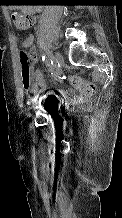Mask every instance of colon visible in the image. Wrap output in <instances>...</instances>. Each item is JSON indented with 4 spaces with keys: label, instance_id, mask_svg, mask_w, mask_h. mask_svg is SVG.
<instances>
[{
    "label": "colon",
    "instance_id": "colon-1",
    "mask_svg": "<svg viewBox=\"0 0 122 218\" xmlns=\"http://www.w3.org/2000/svg\"><path fill=\"white\" fill-rule=\"evenodd\" d=\"M11 19L15 27L19 31L28 30L33 24V17L24 14L19 11L11 12ZM20 75L22 86L25 91H30L32 87V77H31V55L26 50L20 51ZM73 85L85 94H91L93 92V86L80 79H73Z\"/></svg>",
    "mask_w": 122,
    "mask_h": 218
}]
</instances>
